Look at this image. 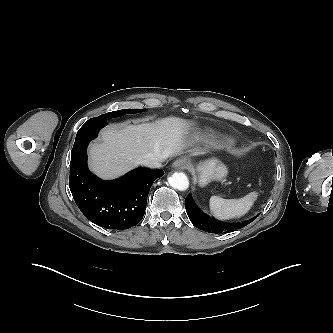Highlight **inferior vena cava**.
Returning a JSON list of instances; mask_svg holds the SVG:
<instances>
[{"label":"inferior vena cava","instance_id":"602c4592","mask_svg":"<svg viewBox=\"0 0 333 333\" xmlns=\"http://www.w3.org/2000/svg\"><path fill=\"white\" fill-rule=\"evenodd\" d=\"M161 160L156 158H145L140 161V164L149 167V168H160L161 167Z\"/></svg>","mask_w":333,"mask_h":333}]
</instances>
